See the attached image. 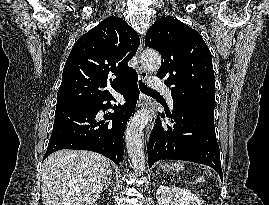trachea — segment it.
I'll return each instance as SVG.
<instances>
[{
  "label": "trachea",
  "instance_id": "1",
  "mask_svg": "<svg viewBox=\"0 0 269 205\" xmlns=\"http://www.w3.org/2000/svg\"><path fill=\"white\" fill-rule=\"evenodd\" d=\"M139 88L145 94H158L159 95V92L148 88L142 81H139Z\"/></svg>",
  "mask_w": 269,
  "mask_h": 205
}]
</instances>
